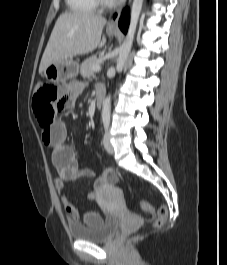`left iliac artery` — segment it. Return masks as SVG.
I'll return each mask as SVG.
<instances>
[{
    "mask_svg": "<svg viewBox=\"0 0 227 265\" xmlns=\"http://www.w3.org/2000/svg\"><path fill=\"white\" fill-rule=\"evenodd\" d=\"M104 125H105V129L107 130L109 126V122H105Z\"/></svg>",
    "mask_w": 227,
    "mask_h": 265,
    "instance_id": "44dca946",
    "label": "left iliac artery"
}]
</instances>
